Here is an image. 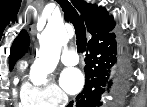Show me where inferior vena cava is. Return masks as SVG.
I'll use <instances>...</instances> for the list:
<instances>
[{
    "label": "inferior vena cava",
    "mask_w": 147,
    "mask_h": 107,
    "mask_svg": "<svg viewBox=\"0 0 147 107\" xmlns=\"http://www.w3.org/2000/svg\"><path fill=\"white\" fill-rule=\"evenodd\" d=\"M64 103L68 101V97L66 95L63 96Z\"/></svg>",
    "instance_id": "inferior-vena-cava-1"
}]
</instances>
